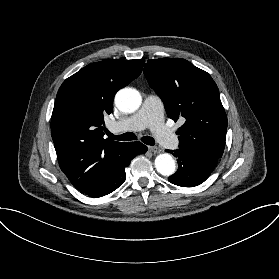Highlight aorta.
<instances>
[{
	"label": "aorta",
	"mask_w": 279,
	"mask_h": 279,
	"mask_svg": "<svg viewBox=\"0 0 279 279\" xmlns=\"http://www.w3.org/2000/svg\"><path fill=\"white\" fill-rule=\"evenodd\" d=\"M142 103L140 93L133 88H123L115 96V104L118 109L125 113L136 111ZM155 168L163 176H170L176 170L174 158L168 154H160L155 159Z\"/></svg>",
	"instance_id": "762f6f07"
}]
</instances>
